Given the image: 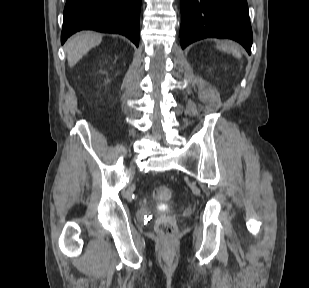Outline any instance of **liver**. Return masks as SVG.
Here are the masks:
<instances>
[{
    "instance_id": "1",
    "label": "liver",
    "mask_w": 309,
    "mask_h": 288,
    "mask_svg": "<svg viewBox=\"0 0 309 288\" xmlns=\"http://www.w3.org/2000/svg\"><path fill=\"white\" fill-rule=\"evenodd\" d=\"M101 41V34L90 31L80 32L72 36L65 45L69 66H75L84 55L93 47L99 45Z\"/></svg>"
}]
</instances>
